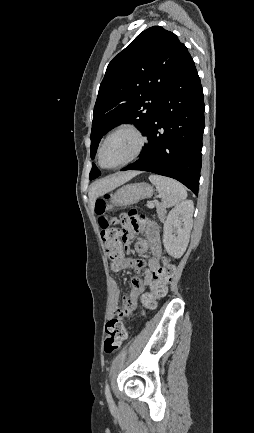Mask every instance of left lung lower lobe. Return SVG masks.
I'll return each mask as SVG.
<instances>
[{
    "label": "left lung lower lobe",
    "instance_id": "obj_1",
    "mask_svg": "<svg viewBox=\"0 0 254 433\" xmlns=\"http://www.w3.org/2000/svg\"><path fill=\"white\" fill-rule=\"evenodd\" d=\"M203 90L189 53L166 88L144 134L148 144L125 170L174 178L198 193L204 132Z\"/></svg>",
    "mask_w": 254,
    "mask_h": 433
}]
</instances>
